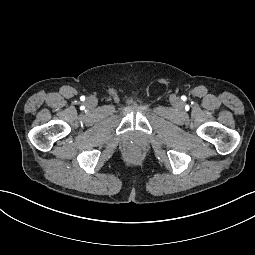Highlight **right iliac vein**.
Here are the masks:
<instances>
[{
	"label": "right iliac vein",
	"instance_id": "right-iliac-vein-1",
	"mask_svg": "<svg viewBox=\"0 0 255 255\" xmlns=\"http://www.w3.org/2000/svg\"><path fill=\"white\" fill-rule=\"evenodd\" d=\"M86 104H87L88 107L93 108V107L96 106L97 101H96L95 98L90 97V98H88V99L86 100Z\"/></svg>",
	"mask_w": 255,
	"mask_h": 255
}]
</instances>
